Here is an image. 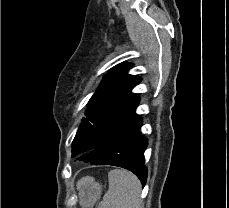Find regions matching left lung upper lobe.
<instances>
[{"label":"left lung upper lobe","mask_w":229,"mask_h":208,"mask_svg":"<svg viewBox=\"0 0 229 208\" xmlns=\"http://www.w3.org/2000/svg\"><path fill=\"white\" fill-rule=\"evenodd\" d=\"M132 66L133 64L124 62L104 76L87 104V118L82 119L72 148L99 131L130 129L139 121L140 116L135 114V109L140 99L131 90L141 82V78L127 74Z\"/></svg>","instance_id":"1"}]
</instances>
